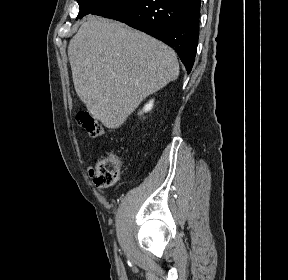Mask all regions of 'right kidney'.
Listing matches in <instances>:
<instances>
[{
	"mask_svg": "<svg viewBox=\"0 0 288 280\" xmlns=\"http://www.w3.org/2000/svg\"><path fill=\"white\" fill-rule=\"evenodd\" d=\"M153 102H154V100H150V101L144 106L143 111H144V112L150 111V110L152 109V107H153Z\"/></svg>",
	"mask_w": 288,
	"mask_h": 280,
	"instance_id": "1",
	"label": "right kidney"
}]
</instances>
